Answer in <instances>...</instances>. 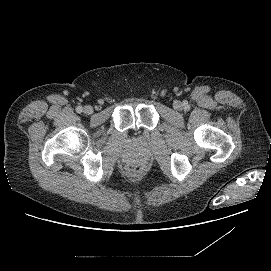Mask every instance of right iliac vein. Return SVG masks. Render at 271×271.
<instances>
[{"instance_id":"obj_1","label":"right iliac vein","mask_w":271,"mask_h":271,"mask_svg":"<svg viewBox=\"0 0 271 271\" xmlns=\"http://www.w3.org/2000/svg\"><path fill=\"white\" fill-rule=\"evenodd\" d=\"M84 113L87 114V115L92 114V113H93V108H92V106H90V105L85 106V107H84Z\"/></svg>"}]
</instances>
